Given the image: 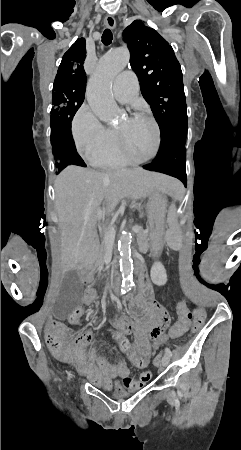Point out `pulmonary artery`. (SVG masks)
<instances>
[{
  "instance_id": "1",
  "label": "pulmonary artery",
  "mask_w": 241,
  "mask_h": 450,
  "mask_svg": "<svg viewBox=\"0 0 241 450\" xmlns=\"http://www.w3.org/2000/svg\"><path fill=\"white\" fill-rule=\"evenodd\" d=\"M137 76L133 69H126L122 71L120 76H117L113 85V94L115 99L121 104H128L134 97V92H137L138 86Z\"/></svg>"
}]
</instances>
